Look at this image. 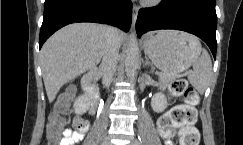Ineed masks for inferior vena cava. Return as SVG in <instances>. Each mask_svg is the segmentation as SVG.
<instances>
[{
    "label": "inferior vena cava",
    "instance_id": "inferior-vena-cava-1",
    "mask_svg": "<svg viewBox=\"0 0 243 145\" xmlns=\"http://www.w3.org/2000/svg\"><path fill=\"white\" fill-rule=\"evenodd\" d=\"M119 48L118 30L113 27H108L103 59L100 65V70L103 75L102 82L106 87L110 85L116 71Z\"/></svg>",
    "mask_w": 243,
    "mask_h": 145
}]
</instances>
